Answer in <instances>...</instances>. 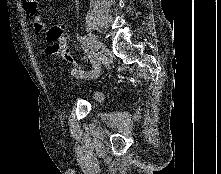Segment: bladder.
Here are the masks:
<instances>
[{
	"label": "bladder",
	"instance_id": "bladder-1",
	"mask_svg": "<svg viewBox=\"0 0 221 174\" xmlns=\"http://www.w3.org/2000/svg\"><path fill=\"white\" fill-rule=\"evenodd\" d=\"M85 96L90 102L94 104L101 103L104 99L103 92L98 88H90L86 90Z\"/></svg>",
	"mask_w": 221,
	"mask_h": 174
}]
</instances>
